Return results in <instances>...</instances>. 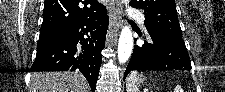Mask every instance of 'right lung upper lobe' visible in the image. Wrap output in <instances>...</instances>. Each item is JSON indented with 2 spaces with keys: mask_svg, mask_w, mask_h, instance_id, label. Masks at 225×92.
Wrapping results in <instances>:
<instances>
[{
  "mask_svg": "<svg viewBox=\"0 0 225 92\" xmlns=\"http://www.w3.org/2000/svg\"><path fill=\"white\" fill-rule=\"evenodd\" d=\"M105 8L97 0H45L40 29H66L96 17Z\"/></svg>",
  "mask_w": 225,
  "mask_h": 92,
  "instance_id": "1",
  "label": "right lung upper lobe"
}]
</instances>
